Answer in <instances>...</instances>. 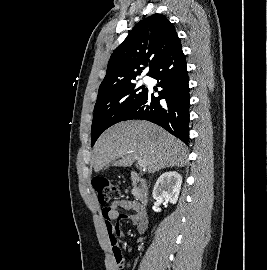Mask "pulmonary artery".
Here are the masks:
<instances>
[{
    "label": "pulmonary artery",
    "mask_w": 267,
    "mask_h": 270,
    "mask_svg": "<svg viewBox=\"0 0 267 270\" xmlns=\"http://www.w3.org/2000/svg\"><path fill=\"white\" fill-rule=\"evenodd\" d=\"M143 81H144V82H148V81H149V78H148V77H144V78H143Z\"/></svg>",
    "instance_id": "e3ab8cb5"
}]
</instances>
